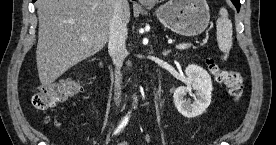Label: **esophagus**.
<instances>
[{
  "instance_id": "34e87169",
  "label": "esophagus",
  "mask_w": 276,
  "mask_h": 145,
  "mask_svg": "<svg viewBox=\"0 0 276 145\" xmlns=\"http://www.w3.org/2000/svg\"><path fill=\"white\" fill-rule=\"evenodd\" d=\"M139 2L143 5H151L152 4L151 0H139Z\"/></svg>"
}]
</instances>
